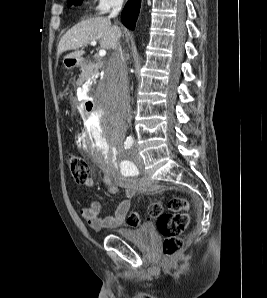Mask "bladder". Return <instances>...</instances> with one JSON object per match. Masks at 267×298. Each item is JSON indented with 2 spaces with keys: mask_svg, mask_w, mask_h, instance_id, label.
I'll return each mask as SVG.
<instances>
[{
  "mask_svg": "<svg viewBox=\"0 0 267 298\" xmlns=\"http://www.w3.org/2000/svg\"><path fill=\"white\" fill-rule=\"evenodd\" d=\"M118 235L127 242H130L140 248H149L155 242V232L150 224L143 225L137 229L125 230Z\"/></svg>",
  "mask_w": 267,
  "mask_h": 298,
  "instance_id": "31cf9c89",
  "label": "bladder"
}]
</instances>
